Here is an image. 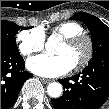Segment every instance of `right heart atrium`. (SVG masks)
Segmentation results:
<instances>
[{"label":"right heart atrium","instance_id":"d8ad5b80","mask_svg":"<svg viewBox=\"0 0 109 109\" xmlns=\"http://www.w3.org/2000/svg\"><path fill=\"white\" fill-rule=\"evenodd\" d=\"M16 40L20 53L29 56L44 48L45 35L40 28L24 30L17 34Z\"/></svg>","mask_w":109,"mask_h":109}]
</instances>
